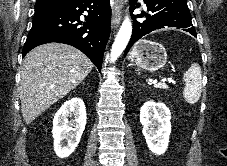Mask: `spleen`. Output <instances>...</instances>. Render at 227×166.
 Instances as JSON below:
<instances>
[{
    "mask_svg": "<svg viewBox=\"0 0 227 166\" xmlns=\"http://www.w3.org/2000/svg\"><path fill=\"white\" fill-rule=\"evenodd\" d=\"M183 79L185 87L183 97L189 104L196 103L202 92V74L198 63H193L189 69L184 73Z\"/></svg>",
    "mask_w": 227,
    "mask_h": 166,
    "instance_id": "1",
    "label": "spleen"
}]
</instances>
